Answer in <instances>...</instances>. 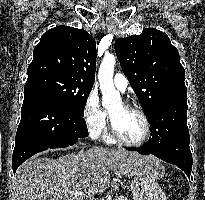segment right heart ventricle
Segmentation results:
<instances>
[{
  "instance_id": "right-heart-ventricle-1",
  "label": "right heart ventricle",
  "mask_w": 205,
  "mask_h": 200,
  "mask_svg": "<svg viewBox=\"0 0 205 200\" xmlns=\"http://www.w3.org/2000/svg\"><path fill=\"white\" fill-rule=\"evenodd\" d=\"M104 140H105L107 143H110V144H112V143L115 142V140H114L110 135H105V136H104Z\"/></svg>"
}]
</instances>
